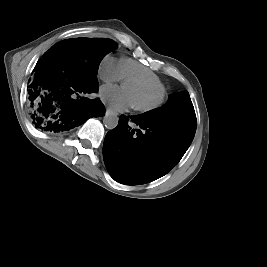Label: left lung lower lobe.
<instances>
[{
  "mask_svg": "<svg viewBox=\"0 0 267 267\" xmlns=\"http://www.w3.org/2000/svg\"><path fill=\"white\" fill-rule=\"evenodd\" d=\"M139 129L131 130L129 118L121 115L103 145V157L111 177L122 184L136 185L167 174L182 158L195 131L185 126L144 121L130 117Z\"/></svg>",
  "mask_w": 267,
  "mask_h": 267,
  "instance_id": "1",
  "label": "left lung lower lobe"
}]
</instances>
